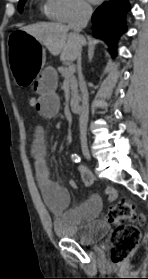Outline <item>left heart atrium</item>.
I'll return each mask as SVG.
<instances>
[{"mask_svg":"<svg viewBox=\"0 0 148 279\" xmlns=\"http://www.w3.org/2000/svg\"><path fill=\"white\" fill-rule=\"evenodd\" d=\"M91 3H98L100 2L101 0H89Z\"/></svg>","mask_w":148,"mask_h":279,"instance_id":"left-heart-atrium-1","label":"left heart atrium"}]
</instances>
